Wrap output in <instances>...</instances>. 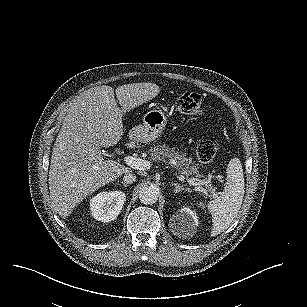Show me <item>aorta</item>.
<instances>
[{
	"mask_svg": "<svg viewBox=\"0 0 307 307\" xmlns=\"http://www.w3.org/2000/svg\"><path fill=\"white\" fill-rule=\"evenodd\" d=\"M159 197V191L152 185L143 187L139 193V199L144 204H154Z\"/></svg>",
	"mask_w": 307,
	"mask_h": 307,
	"instance_id": "aorta-1",
	"label": "aorta"
}]
</instances>
